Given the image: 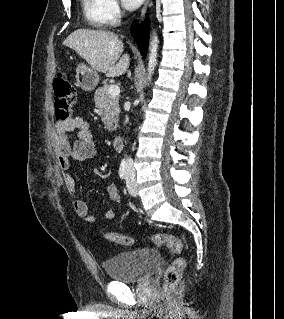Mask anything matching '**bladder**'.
Masks as SVG:
<instances>
[{
	"mask_svg": "<svg viewBox=\"0 0 284 319\" xmlns=\"http://www.w3.org/2000/svg\"><path fill=\"white\" fill-rule=\"evenodd\" d=\"M160 262L161 256L157 250L141 248L121 252L105 260L103 267L110 279L130 283L149 276Z\"/></svg>",
	"mask_w": 284,
	"mask_h": 319,
	"instance_id": "obj_1",
	"label": "bladder"
}]
</instances>
